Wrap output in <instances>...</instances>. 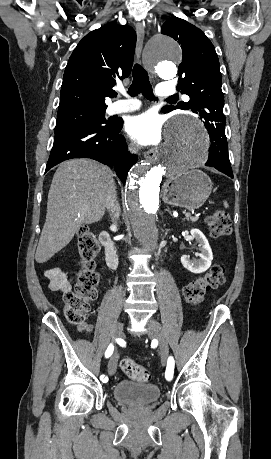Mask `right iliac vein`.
Returning a JSON list of instances; mask_svg holds the SVG:
<instances>
[{
	"instance_id": "obj_1",
	"label": "right iliac vein",
	"mask_w": 271,
	"mask_h": 459,
	"mask_svg": "<svg viewBox=\"0 0 271 459\" xmlns=\"http://www.w3.org/2000/svg\"><path fill=\"white\" fill-rule=\"evenodd\" d=\"M123 331V324L121 322H117L114 326V337H121ZM118 364V359L116 355H113L108 363V374L110 376L116 373V368Z\"/></svg>"
}]
</instances>
